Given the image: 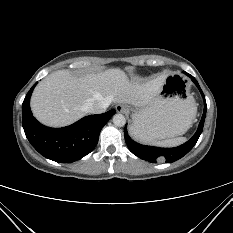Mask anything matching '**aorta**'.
<instances>
[{
  "mask_svg": "<svg viewBox=\"0 0 233 233\" xmlns=\"http://www.w3.org/2000/svg\"><path fill=\"white\" fill-rule=\"evenodd\" d=\"M113 123L115 126L122 127L126 123V119L122 114H115L113 116Z\"/></svg>",
  "mask_w": 233,
  "mask_h": 233,
  "instance_id": "aorta-1",
  "label": "aorta"
}]
</instances>
